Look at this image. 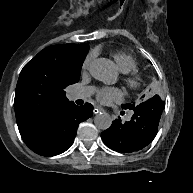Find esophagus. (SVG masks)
Here are the masks:
<instances>
[{
  "mask_svg": "<svg viewBox=\"0 0 193 193\" xmlns=\"http://www.w3.org/2000/svg\"><path fill=\"white\" fill-rule=\"evenodd\" d=\"M100 112V107H95L93 110L94 114H98Z\"/></svg>",
  "mask_w": 193,
  "mask_h": 193,
  "instance_id": "esophagus-1",
  "label": "esophagus"
}]
</instances>
